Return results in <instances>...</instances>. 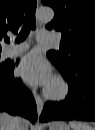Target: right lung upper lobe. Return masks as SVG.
<instances>
[{"label":"right lung upper lobe","instance_id":"1","mask_svg":"<svg viewBox=\"0 0 95 130\" xmlns=\"http://www.w3.org/2000/svg\"><path fill=\"white\" fill-rule=\"evenodd\" d=\"M26 2V0H0V40L8 31L17 33L23 22Z\"/></svg>","mask_w":95,"mask_h":130}]
</instances>
